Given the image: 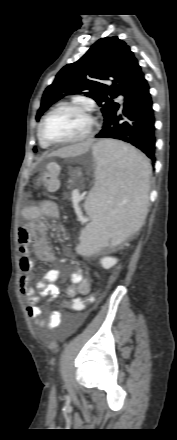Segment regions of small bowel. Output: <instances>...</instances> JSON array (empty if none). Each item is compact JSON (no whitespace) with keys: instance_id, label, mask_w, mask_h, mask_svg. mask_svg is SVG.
Segmentation results:
<instances>
[{"instance_id":"1","label":"small bowel","mask_w":177,"mask_h":440,"mask_svg":"<svg viewBox=\"0 0 177 440\" xmlns=\"http://www.w3.org/2000/svg\"><path fill=\"white\" fill-rule=\"evenodd\" d=\"M23 216L27 220V225L20 227L18 230L19 265L22 271L20 292L26 299L27 316L36 326L41 327L43 323L39 319L41 315L40 297L47 298V303L60 297L61 290L56 285V281L60 278L61 272L58 269H51L46 272L40 281L31 285L29 281L30 273L33 270V260L30 243H32L36 255L41 261L53 262L55 260L46 236L43 219L58 220L59 210L55 202L43 201L26 206L23 209ZM90 290L89 278L85 276L81 268L76 267L70 275V284L66 289L67 297L86 296L90 293ZM63 318L64 314L62 312H52L48 320V327L50 329L57 328L62 323Z\"/></svg>"}]
</instances>
